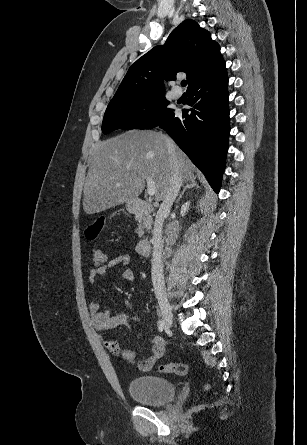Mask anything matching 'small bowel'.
<instances>
[{"label": "small bowel", "instance_id": "small-bowel-1", "mask_svg": "<svg viewBox=\"0 0 307 445\" xmlns=\"http://www.w3.org/2000/svg\"><path fill=\"white\" fill-rule=\"evenodd\" d=\"M130 263L131 256L129 254L118 255L112 258L106 265L100 268L91 269L88 275V281L90 284L94 285L96 284L98 277L106 275L111 269L118 266L126 267L122 273L123 278L133 280V271L128 267ZM88 310L92 316V323L95 329L100 333H104L109 329L121 326L131 328L133 324L143 323L145 321L144 317L138 312H133L131 314H111L108 309L103 308L97 301L90 302L88 305ZM104 345L111 354L120 356L123 362L130 363L135 359V352L133 350L122 349L116 341L105 339ZM164 349V339L161 336H155L151 340L150 354L147 358L138 363L139 369L142 371H149L152 369L157 361L162 357Z\"/></svg>", "mask_w": 307, "mask_h": 445}]
</instances>
